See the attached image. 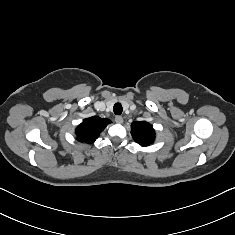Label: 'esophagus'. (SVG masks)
<instances>
[{"label":"esophagus","instance_id":"esophagus-1","mask_svg":"<svg viewBox=\"0 0 235 235\" xmlns=\"http://www.w3.org/2000/svg\"><path fill=\"white\" fill-rule=\"evenodd\" d=\"M115 122L116 123H118V124H121V123H123V118H122V116H115Z\"/></svg>","mask_w":235,"mask_h":235}]
</instances>
